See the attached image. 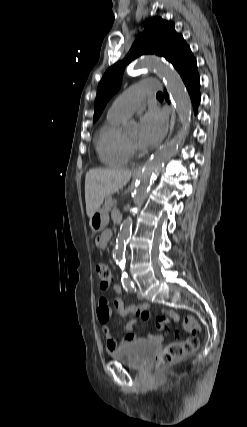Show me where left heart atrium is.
Returning <instances> with one entry per match:
<instances>
[{
  "mask_svg": "<svg viewBox=\"0 0 247 427\" xmlns=\"http://www.w3.org/2000/svg\"><path fill=\"white\" fill-rule=\"evenodd\" d=\"M166 131V116L159 109L151 108L140 119L138 144L143 148L155 146Z\"/></svg>",
  "mask_w": 247,
  "mask_h": 427,
  "instance_id": "39dd6f15",
  "label": "left heart atrium"
}]
</instances>
